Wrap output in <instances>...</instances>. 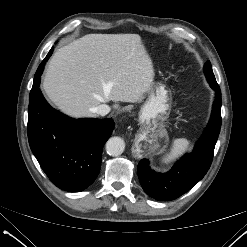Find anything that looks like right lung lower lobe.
Wrapping results in <instances>:
<instances>
[{"label": "right lung lower lobe", "mask_w": 247, "mask_h": 247, "mask_svg": "<svg viewBox=\"0 0 247 247\" xmlns=\"http://www.w3.org/2000/svg\"><path fill=\"white\" fill-rule=\"evenodd\" d=\"M112 119H72L53 109L39 87L29 97L28 140L49 179L60 189L80 192L101 168V154L112 134Z\"/></svg>", "instance_id": "obj_1"}]
</instances>
